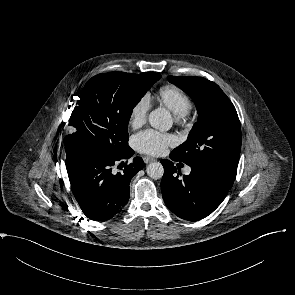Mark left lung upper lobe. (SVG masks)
<instances>
[{"label":"left lung upper lobe","instance_id":"left-lung-upper-lobe-1","mask_svg":"<svg viewBox=\"0 0 295 295\" xmlns=\"http://www.w3.org/2000/svg\"><path fill=\"white\" fill-rule=\"evenodd\" d=\"M185 91L198 112L187 140L171 154L192 168L206 169L232 187L241 151L236 109L217 84L202 77L168 76Z\"/></svg>","mask_w":295,"mask_h":295}]
</instances>
